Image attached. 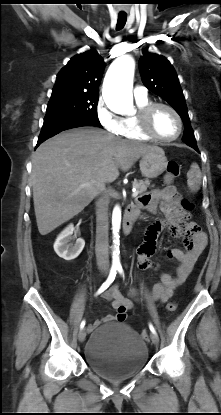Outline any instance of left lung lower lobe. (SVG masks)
Wrapping results in <instances>:
<instances>
[{"mask_svg":"<svg viewBox=\"0 0 221 415\" xmlns=\"http://www.w3.org/2000/svg\"><path fill=\"white\" fill-rule=\"evenodd\" d=\"M189 146H191V147H192V148H194L196 151H198L197 144H189Z\"/></svg>","mask_w":221,"mask_h":415,"instance_id":"1","label":"left lung lower lobe"}]
</instances>
